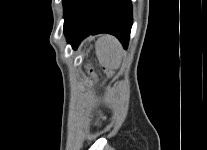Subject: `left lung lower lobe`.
<instances>
[{
    "label": "left lung lower lobe",
    "instance_id": "0a47b994",
    "mask_svg": "<svg viewBox=\"0 0 207 150\" xmlns=\"http://www.w3.org/2000/svg\"><path fill=\"white\" fill-rule=\"evenodd\" d=\"M64 33L74 49L90 34L115 35L127 47L132 26L130 0H65Z\"/></svg>",
    "mask_w": 207,
    "mask_h": 150
}]
</instances>
